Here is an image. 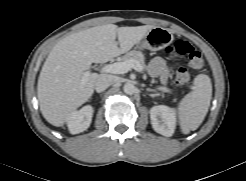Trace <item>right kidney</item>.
Segmentation results:
<instances>
[{
  "label": "right kidney",
  "instance_id": "right-kidney-1",
  "mask_svg": "<svg viewBox=\"0 0 246 181\" xmlns=\"http://www.w3.org/2000/svg\"><path fill=\"white\" fill-rule=\"evenodd\" d=\"M93 108L90 105L74 111L67 119V126L71 134H78L85 131L91 124Z\"/></svg>",
  "mask_w": 246,
  "mask_h": 181
}]
</instances>
